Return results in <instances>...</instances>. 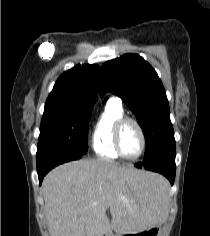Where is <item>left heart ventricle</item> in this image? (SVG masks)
I'll return each instance as SVG.
<instances>
[{
	"instance_id": "b2bd125f",
	"label": "left heart ventricle",
	"mask_w": 210,
	"mask_h": 236,
	"mask_svg": "<svg viewBox=\"0 0 210 236\" xmlns=\"http://www.w3.org/2000/svg\"><path fill=\"white\" fill-rule=\"evenodd\" d=\"M121 148L127 157H134L140 151L141 137L133 123H126L122 129Z\"/></svg>"
}]
</instances>
